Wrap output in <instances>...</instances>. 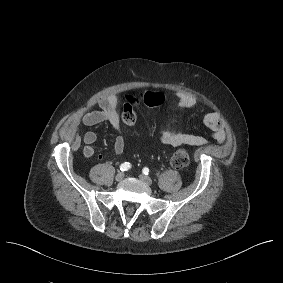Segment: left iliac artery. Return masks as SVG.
I'll list each match as a JSON object with an SVG mask.
<instances>
[{
	"instance_id": "obj_1",
	"label": "left iliac artery",
	"mask_w": 283,
	"mask_h": 283,
	"mask_svg": "<svg viewBox=\"0 0 283 283\" xmlns=\"http://www.w3.org/2000/svg\"><path fill=\"white\" fill-rule=\"evenodd\" d=\"M142 172H143V174L148 175L149 169L147 167H145V168H143Z\"/></svg>"
}]
</instances>
